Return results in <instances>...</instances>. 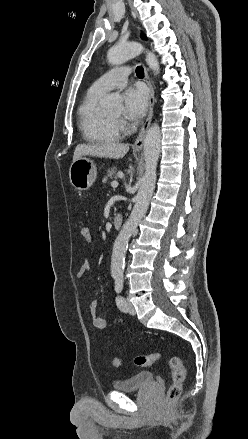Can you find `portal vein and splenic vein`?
Wrapping results in <instances>:
<instances>
[{"instance_id":"1","label":"portal vein and splenic vein","mask_w":248,"mask_h":439,"mask_svg":"<svg viewBox=\"0 0 248 439\" xmlns=\"http://www.w3.org/2000/svg\"><path fill=\"white\" fill-rule=\"evenodd\" d=\"M118 185H119V183H118L117 181H113V182L111 183L112 188H117Z\"/></svg>"}]
</instances>
